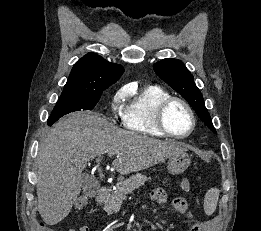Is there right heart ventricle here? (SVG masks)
Listing matches in <instances>:
<instances>
[{"mask_svg":"<svg viewBox=\"0 0 261 231\" xmlns=\"http://www.w3.org/2000/svg\"><path fill=\"white\" fill-rule=\"evenodd\" d=\"M128 101L123 109V126L144 136L163 137L156 124L159 104L171 97L170 93L159 86H147L136 91L126 89Z\"/></svg>","mask_w":261,"mask_h":231,"instance_id":"e07e8e85","label":"right heart ventricle"}]
</instances>
